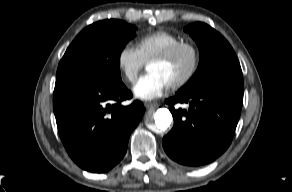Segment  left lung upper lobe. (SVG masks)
I'll use <instances>...</instances> for the list:
<instances>
[{
	"label": "left lung upper lobe",
	"instance_id": "left-lung-upper-lobe-1",
	"mask_svg": "<svg viewBox=\"0 0 292 192\" xmlns=\"http://www.w3.org/2000/svg\"><path fill=\"white\" fill-rule=\"evenodd\" d=\"M195 40L200 63L192 78L177 94L214 86H242V70L228 41L209 25L196 22L184 28Z\"/></svg>",
	"mask_w": 292,
	"mask_h": 192
}]
</instances>
